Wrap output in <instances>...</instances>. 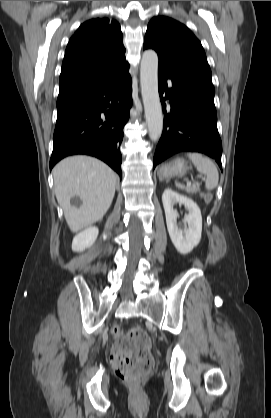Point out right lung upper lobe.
Wrapping results in <instances>:
<instances>
[{
  "label": "right lung upper lobe",
  "mask_w": 271,
  "mask_h": 418,
  "mask_svg": "<svg viewBox=\"0 0 271 418\" xmlns=\"http://www.w3.org/2000/svg\"><path fill=\"white\" fill-rule=\"evenodd\" d=\"M127 67L118 22L108 18L86 21L67 45L57 106L94 93Z\"/></svg>",
  "instance_id": "obj_1"
}]
</instances>
